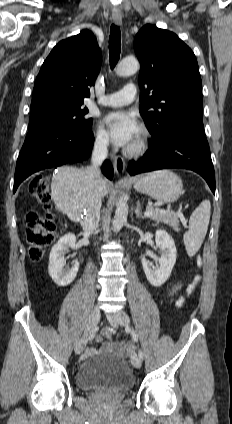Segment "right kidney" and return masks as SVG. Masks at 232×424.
Segmentation results:
<instances>
[{
	"label": "right kidney",
	"instance_id": "1",
	"mask_svg": "<svg viewBox=\"0 0 232 424\" xmlns=\"http://www.w3.org/2000/svg\"><path fill=\"white\" fill-rule=\"evenodd\" d=\"M75 243L76 237L74 234H65L58 240L50 252L48 272L58 286L64 287L69 285L77 275L79 269L78 260L73 261L71 268H64L66 261L64 255L67 253L69 247H75Z\"/></svg>",
	"mask_w": 232,
	"mask_h": 424
}]
</instances>
